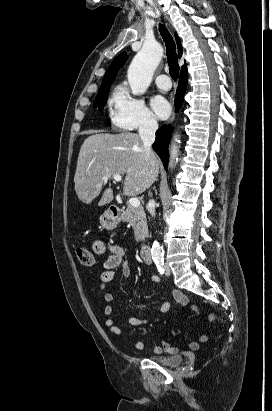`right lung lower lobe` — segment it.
<instances>
[{
	"label": "right lung lower lobe",
	"mask_w": 272,
	"mask_h": 411,
	"mask_svg": "<svg viewBox=\"0 0 272 411\" xmlns=\"http://www.w3.org/2000/svg\"><path fill=\"white\" fill-rule=\"evenodd\" d=\"M187 79H188V73L186 69L181 72V75L179 78V84H178V88H177V92L175 96L176 111L181 107L183 103L184 94L187 88ZM172 130L173 129L171 125H163L161 128L157 130L156 140L153 144V149L161 158L165 168H167V165H168V159H169L168 144L170 141Z\"/></svg>",
	"instance_id": "obj_1"
}]
</instances>
